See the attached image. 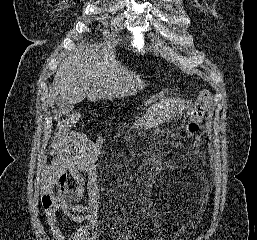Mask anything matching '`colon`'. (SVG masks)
I'll return each mask as SVG.
<instances>
[{
  "label": "colon",
  "mask_w": 257,
  "mask_h": 240,
  "mask_svg": "<svg viewBox=\"0 0 257 240\" xmlns=\"http://www.w3.org/2000/svg\"><path fill=\"white\" fill-rule=\"evenodd\" d=\"M211 100V94L208 90H203L196 101L195 107L192 110L188 121L183 125L182 131L185 138H196L201 132V123L207 111ZM45 207L51 204L49 196L43 197Z\"/></svg>",
  "instance_id": "1"
}]
</instances>
